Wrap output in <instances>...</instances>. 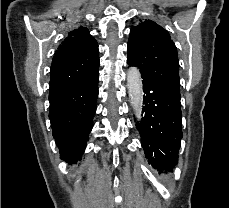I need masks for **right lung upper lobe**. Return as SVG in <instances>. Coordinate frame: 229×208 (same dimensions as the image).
Wrapping results in <instances>:
<instances>
[{"instance_id": "obj_1", "label": "right lung upper lobe", "mask_w": 229, "mask_h": 208, "mask_svg": "<svg viewBox=\"0 0 229 208\" xmlns=\"http://www.w3.org/2000/svg\"><path fill=\"white\" fill-rule=\"evenodd\" d=\"M98 53L97 41L87 28L69 32L52 60L49 94L90 76L99 66Z\"/></svg>"}]
</instances>
